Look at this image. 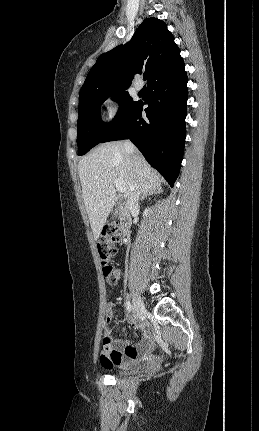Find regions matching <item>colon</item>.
Wrapping results in <instances>:
<instances>
[{"instance_id":"5ec220e1","label":"colon","mask_w":259,"mask_h":431,"mask_svg":"<svg viewBox=\"0 0 259 431\" xmlns=\"http://www.w3.org/2000/svg\"><path fill=\"white\" fill-rule=\"evenodd\" d=\"M122 239V230L115 224L106 225L101 233L97 248L100 259L102 261L103 275L107 283L115 285L121 278V270L119 267L111 264V260L117 253L116 244ZM108 339L104 337L103 343H108Z\"/></svg>"}]
</instances>
